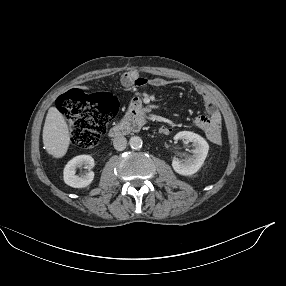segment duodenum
<instances>
[{
  "instance_id": "1",
  "label": "duodenum",
  "mask_w": 286,
  "mask_h": 286,
  "mask_svg": "<svg viewBox=\"0 0 286 286\" xmlns=\"http://www.w3.org/2000/svg\"><path fill=\"white\" fill-rule=\"evenodd\" d=\"M135 115L131 116L127 120H123L119 124L113 125L109 131L108 135L112 138L120 137L128 134L131 131H138L143 125V120L141 119V111L133 109L132 111Z\"/></svg>"
}]
</instances>
